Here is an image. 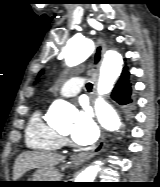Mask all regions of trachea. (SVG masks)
I'll use <instances>...</instances> for the list:
<instances>
[{
	"mask_svg": "<svg viewBox=\"0 0 160 187\" xmlns=\"http://www.w3.org/2000/svg\"><path fill=\"white\" fill-rule=\"evenodd\" d=\"M86 88H87L88 91H92V84L87 83Z\"/></svg>",
	"mask_w": 160,
	"mask_h": 187,
	"instance_id": "1",
	"label": "trachea"
}]
</instances>
